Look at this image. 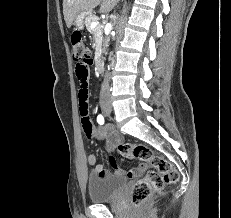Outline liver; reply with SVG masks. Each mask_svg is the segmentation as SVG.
Here are the masks:
<instances>
[{
    "mask_svg": "<svg viewBox=\"0 0 231 218\" xmlns=\"http://www.w3.org/2000/svg\"><path fill=\"white\" fill-rule=\"evenodd\" d=\"M118 0H63L64 20L68 28L80 13L90 14L100 3V13L110 11Z\"/></svg>",
    "mask_w": 231,
    "mask_h": 218,
    "instance_id": "obj_1",
    "label": "liver"
}]
</instances>
